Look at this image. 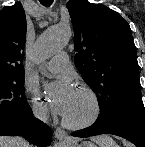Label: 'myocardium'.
<instances>
[{
  "label": "myocardium",
  "instance_id": "1",
  "mask_svg": "<svg viewBox=\"0 0 145 147\" xmlns=\"http://www.w3.org/2000/svg\"><path fill=\"white\" fill-rule=\"evenodd\" d=\"M77 91L84 94L90 100L92 109L90 114L85 119L80 121H71L66 117H63L62 119L63 126L73 130L85 129L94 125L99 120L102 113L100 100L97 94L91 88L86 86H81L78 88Z\"/></svg>",
  "mask_w": 145,
  "mask_h": 147
}]
</instances>
